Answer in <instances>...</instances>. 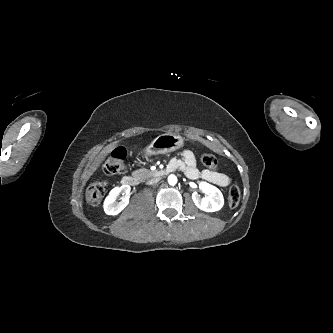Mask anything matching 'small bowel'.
<instances>
[{
	"instance_id": "c3829d8e",
	"label": "small bowel",
	"mask_w": 333,
	"mask_h": 333,
	"mask_svg": "<svg viewBox=\"0 0 333 333\" xmlns=\"http://www.w3.org/2000/svg\"><path fill=\"white\" fill-rule=\"evenodd\" d=\"M169 164L174 165L176 169L184 171L189 179H201L219 187H226L231 183V178L224 173L208 169L198 170L195 155L188 149L182 152L181 159L175 158Z\"/></svg>"
}]
</instances>
